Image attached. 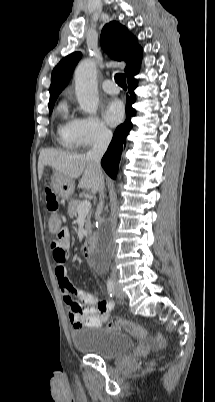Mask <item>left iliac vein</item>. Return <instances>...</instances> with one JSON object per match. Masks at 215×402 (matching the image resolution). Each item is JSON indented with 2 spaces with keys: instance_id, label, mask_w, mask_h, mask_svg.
<instances>
[{
  "instance_id": "4c4485c4",
  "label": "left iliac vein",
  "mask_w": 215,
  "mask_h": 402,
  "mask_svg": "<svg viewBox=\"0 0 215 402\" xmlns=\"http://www.w3.org/2000/svg\"><path fill=\"white\" fill-rule=\"evenodd\" d=\"M116 294H117L118 297L120 296L119 289H118L117 286H116Z\"/></svg>"
}]
</instances>
